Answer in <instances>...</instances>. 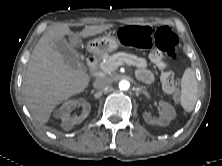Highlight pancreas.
Instances as JSON below:
<instances>
[{
  "mask_svg": "<svg viewBox=\"0 0 222 166\" xmlns=\"http://www.w3.org/2000/svg\"><path fill=\"white\" fill-rule=\"evenodd\" d=\"M118 62L133 65L141 69H145L147 67V61L144 58H140L136 55L127 54L124 52H119L110 57H106L105 61L100 63V68L105 74H111L116 69L115 65Z\"/></svg>",
  "mask_w": 222,
  "mask_h": 166,
  "instance_id": "pancreas-1",
  "label": "pancreas"
}]
</instances>
